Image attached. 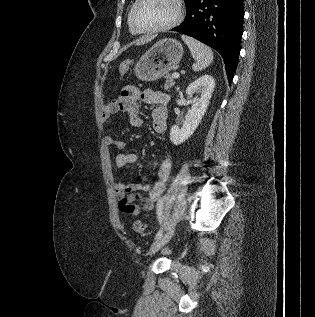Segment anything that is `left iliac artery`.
<instances>
[{"label":"left iliac artery","mask_w":315,"mask_h":317,"mask_svg":"<svg viewBox=\"0 0 315 317\" xmlns=\"http://www.w3.org/2000/svg\"><path fill=\"white\" fill-rule=\"evenodd\" d=\"M162 209H163V199L159 200V202L157 203V217L159 219L160 224L162 222ZM162 234H163V228L160 227L159 231L157 232L155 236V239L160 238Z\"/></svg>","instance_id":"1"}]
</instances>
